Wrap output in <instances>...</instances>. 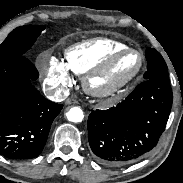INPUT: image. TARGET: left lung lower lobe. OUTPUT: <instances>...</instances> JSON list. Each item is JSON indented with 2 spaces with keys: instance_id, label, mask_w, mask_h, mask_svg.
Masks as SVG:
<instances>
[{
  "instance_id": "obj_1",
  "label": "left lung lower lobe",
  "mask_w": 183,
  "mask_h": 183,
  "mask_svg": "<svg viewBox=\"0 0 183 183\" xmlns=\"http://www.w3.org/2000/svg\"><path fill=\"white\" fill-rule=\"evenodd\" d=\"M173 101L169 81L145 80L125 100L88 117V140L94 158L120 166L146 156L165 130Z\"/></svg>"
}]
</instances>
